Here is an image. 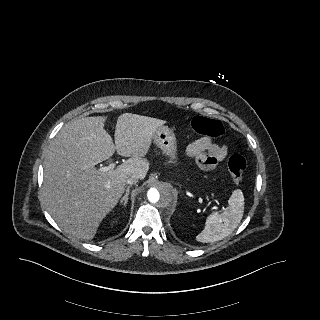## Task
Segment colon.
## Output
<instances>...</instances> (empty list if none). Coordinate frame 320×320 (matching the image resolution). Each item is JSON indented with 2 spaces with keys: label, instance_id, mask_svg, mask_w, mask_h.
<instances>
[{
  "label": "colon",
  "instance_id": "obj_1",
  "mask_svg": "<svg viewBox=\"0 0 320 320\" xmlns=\"http://www.w3.org/2000/svg\"><path fill=\"white\" fill-rule=\"evenodd\" d=\"M191 125L194 131L209 137H218L224 133L222 122L214 118L198 116L192 120ZM227 166L232 180L240 183L247 167L246 158L242 154L235 153L229 158Z\"/></svg>",
  "mask_w": 320,
  "mask_h": 320
}]
</instances>
